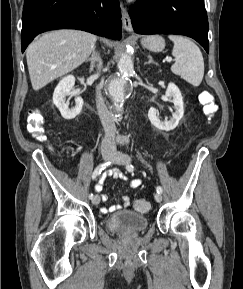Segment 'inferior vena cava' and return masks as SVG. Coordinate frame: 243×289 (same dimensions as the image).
<instances>
[{
  "label": "inferior vena cava",
  "instance_id": "602c4592",
  "mask_svg": "<svg viewBox=\"0 0 243 289\" xmlns=\"http://www.w3.org/2000/svg\"><path fill=\"white\" fill-rule=\"evenodd\" d=\"M101 67L102 62L100 60L98 64V69H101ZM96 106L99 118L105 131V137L102 140L101 150L103 152L116 153L117 152L115 144L116 126L112 114L108 111L107 107L104 104V100L101 96L99 88L97 89Z\"/></svg>",
  "mask_w": 243,
  "mask_h": 289
}]
</instances>
